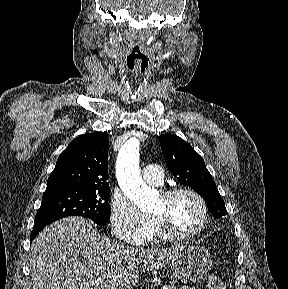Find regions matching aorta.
Wrapping results in <instances>:
<instances>
[{
	"label": "aorta",
	"mask_w": 288,
	"mask_h": 289,
	"mask_svg": "<svg viewBox=\"0 0 288 289\" xmlns=\"http://www.w3.org/2000/svg\"><path fill=\"white\" fill-rule=\"evenodd\" d=\"M116 176L125 195L142 211H150L157 201V194L144 183L139 170V140L130 138L120 149Z\"/></svg>",
	"instance_id": "aorta-1"
}]
</instances>
